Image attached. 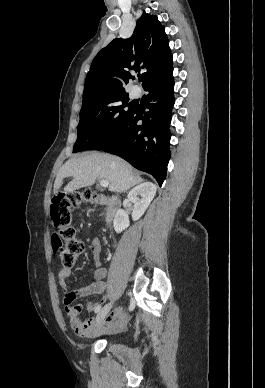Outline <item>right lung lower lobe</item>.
I'll return each mask as SVG.
<instances>
[{"mask_svg": "<svg viewBox=\"0 0 265 388\" xmlns=\"http://www.w3.org/2000/svg\"><path fill=\"white\" fill-rule=\"evenodd\" d=\"M172 72L145 87L149 92V111L144 112L136 106L115 138L102 148L151 174L160 186L165 180L170 159L169 125L174 104Z\"/></svg>", "mask_w": 265, "mask_h": 388, "instance_id": "98d812e1", "label": "right lung lower lobe"}]
</instances>
